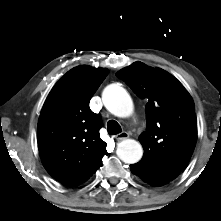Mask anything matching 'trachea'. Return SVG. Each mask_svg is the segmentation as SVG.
Segmentation results:
<instances>
[{
	"label": "trachea",
	"instance_id": "1",
	"mask_svg": "<svg viewBox=\"0 0 221 221\" xmlns=\"http://www.w3.org/2000/svg\"><path fill=\"white\" fill-rule=\"evenodd\" d=\"M107 131L109 135H116L119 134L122 129L118 122L115 120H110L107 123Z\"/></svg>",
	"mask_w": 221,
	"mask_h": 221
}]
</instances>
